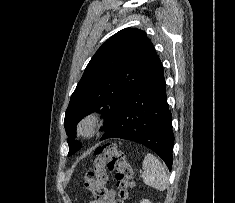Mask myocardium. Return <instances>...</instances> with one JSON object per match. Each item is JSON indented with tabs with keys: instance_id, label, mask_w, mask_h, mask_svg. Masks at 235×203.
I'll list each match as a JSON object with an SVG mask.
<instances>
[{
	"instance_id": "1",
	"label": "myocardium",
	"mask_w": 235,
	"mask_h": 203,
	"mask_svg": "<svg viewBox=\"0 0 235 203\" xmlns=\"http://www.w3.org/2000/svg\"><path fill=\"white\" fill-rule=\"evenodd\" d=\"M102 122L103 118L100 113H86L77 123V133L83 138H92L99 132Z\"/></svg>"
}]
</instances>
